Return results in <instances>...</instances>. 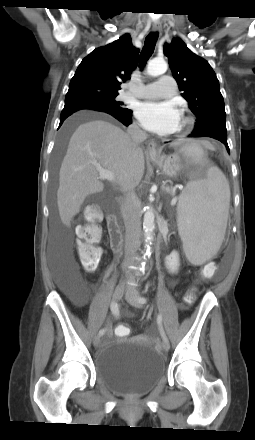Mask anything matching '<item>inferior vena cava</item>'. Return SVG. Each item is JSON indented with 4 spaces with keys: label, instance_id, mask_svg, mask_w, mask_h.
I'll return each mask as SVG.
<instances>
[{
    "label": "inferior vena cava",
    "instance_id": "inferior-vena-cava-1",
    "mask_svg": "<svg viewBox=\"0 0 255 440\" xmlns=\"http://www.w3.org/2000/svg\"><path fill=\"white\" fill-rule=\"evenodd\" d=\"M127 133L132 140V146L138 145L147 138V134L142 131L137 124L128 127ZM125 200L122 205V215L125 224V263L123 271L125 277H130L129 263L132 261L137 248L139 247V238L141 234L140 212L138 208L139 200L133 187L125 189Z\"/></svg>",
    "mask_w": 255,
    "mask_h": 440
}]
</instances>
